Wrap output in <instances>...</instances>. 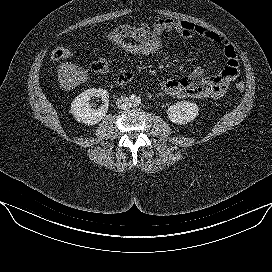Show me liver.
Masks as SVG:
<instances>
[{"instance_id": "1", "label": "liver", "mask_w": 272, "mask_h": 272, "mask_svg": "<svg viewBox=\"0 0 272 272\" xmlns=\"http://www.w3.org/2000/svg\"><path fill=\"white\" fill-rule=\"evenodd\" d=\"M59 82L63 90H70L84 83L88 79V73L81 67L62 63L58 69Z\"/></svg>"}]
</instances>
